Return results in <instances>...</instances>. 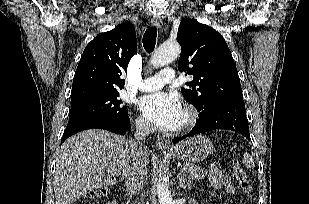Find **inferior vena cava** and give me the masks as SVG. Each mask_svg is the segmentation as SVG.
<instances>
[{
  "label": "inferior vena cava",
  "instance_id": "inferior-vena-cava-1",
  "mask_svg": "<svg viewBox=\"0 0 309 204\" xmlns=\"http://www.w3.org/2000/svg\"><path fill=\"white\" fill-rule=\"evenodd\" d=\"M153 130V126L146 121L136 123L135 139L131 140L133 160L125 175V186L129 196L135 195L147 181V151L143 141L146 135Z\"/></svg>",
  "mask_w": 309,
  "mask_h": 204
}]
</instances>
